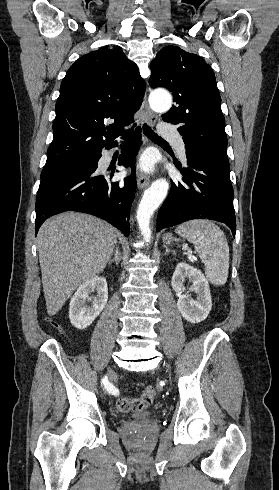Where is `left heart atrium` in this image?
<instances>
[{"label": "left heart atrium", "mask_w": 279, "mask_h": 490, "mask_svg": "<svg viewBox=\"0 0 279 490\" xmlns=\"http://www.w3.org/2000/svg\"><path fill=\"white\" fill-rule=\"evenodd\" d=\"M138 169L143 173H152L154 166L151 159L148 156H143L138 163Z\"/></svg>", "instance_id": "left-heart-atrium-1"}]
</instances>
